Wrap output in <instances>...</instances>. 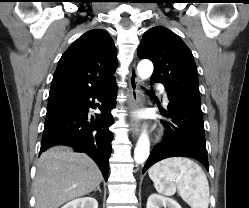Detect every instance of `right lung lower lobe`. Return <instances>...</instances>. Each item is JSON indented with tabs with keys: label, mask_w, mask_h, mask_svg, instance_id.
I'll return each mask as SVG.
<instances>
[{
	"label": "right lung lower lobe",
	"mask_w": 249,
	"mask_h": 208,
	"mask_svg": "<svg viewBox=\"0 0 249 208\" xmlns=\"http://www.w3.org/2000/svg\"><path fill=\"white\" fill-rule=\"evenodd\" d=\"M117 85L114 80L91 93L48 101L40 153L54 145H68L88 154L99 166L105 180L108 177L109 156L113 138L109 127L113 123ZM99 100L101 114L88 121V109Z\"/></svg>",
	"instance_id": "obj_1"
}]
</instances>
